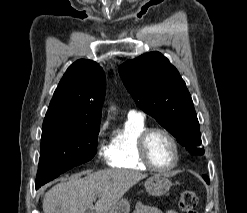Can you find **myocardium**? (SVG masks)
I'll use <instances>...</instances> for the list:
<instances>
[{"instance_id":"myocardium-1","label":"myocardium","mask_w":247,"mask_h":213,"mask_svg":"<svg viewBox=\"0 0 247 213\" xmlns=\"http://www.w3.org/2000/svg\"><path fill=\"white\" fill-rule=\"evenodd\" d=\"M162 133L167 138L170 140L173 150H174V160L173 163L165 168L157 167L152 163V161L149 158L148 151H147V143L149 137L153 133ZM137 153L140 161L150 170L155 171V172H160V173H166L169 172L173 169H175L179 163L180 160V148L179 144L175 138V136L167 129L162 128V127H151V128H146L143 132L140 133L138 139H137Z\"/></svg>"}]
</instances>
